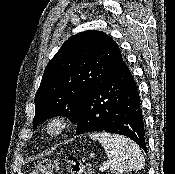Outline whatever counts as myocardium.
Here are the masks:
<instances>
[{"mask_svg":"<svg viewBox=\"0 0 175 174\" xmlns=\"http://www.w3.org/2000/svg\"><path fill=\"white\" fill-rule=\"evenodd\" d=\"M67 128L68 119L62 115L51 116L44 124L45 132L51 137L61 135Z\"/></svg>","mask_w":175,"mask_h":174,"instance_id":"1","label":"myocardium"}]
</instances>
